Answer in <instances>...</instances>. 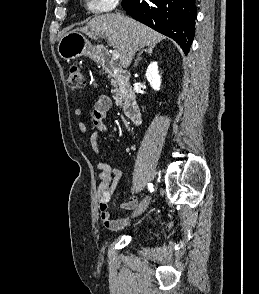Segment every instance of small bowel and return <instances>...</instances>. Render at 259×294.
Listing matches in <instances>:
<instances>
[{"mask_svg": "<svg viewBox=\"0 0 259 294\" xmlns=\"http://www.w3.org/2000/svg\"><path fill=\"white\" fill-rule=\"evenodd\" d=\"M111 106V100L108 96L101 95L90 110V116L95 127V131L90 134L89 142L94 153L99 154L98 136L100 132L105 130V116ZM76 117H81L83 114L82 109L76 108L74 111ZM81 132L86 133L87 127L83 122L79 123ZM96 167L100 170L98 178L100 185L98 188V203L100 210V219L102 224L109 230L117 231L125 227L130 219H112L109 213V203L113 198L114 192L118 183L123 178V171L117 167H113L106 162H97ZM138 205L136 199H129L120 204L121 209L131 211Z\"/></svg>", "mask_w": 259, "mask_h": 294, "instance_id": "obj_1", "label": "small bowel"}]
</instances>
